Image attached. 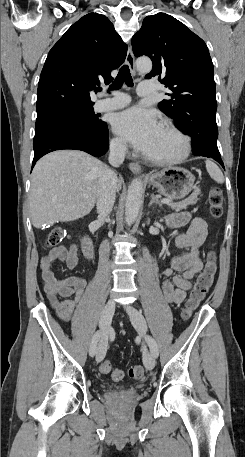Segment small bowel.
<instances>
[{
    "mask_svg": "<svg viewBox=\"0 0 245 457\" xmlns=\"http://www.w3.org/2000/svg\"><path fill=\"white\" fill-rule=\"evenodd\" d=\"M166 223L171 228L187 227L186 232L176 238V245L186 251L174 257L161 273L165 278L162 283L165 300L168 303L180 304L185 300L187 291L191 289V280L202 269L200 248L207 236V224L204 219L192 217L188 212L171 214L166 217ZM76 252L77 248L74 245L69 249L57 247L45 255L40 263L41 279L47 299L64 322L72 320L87 282L79 277L57 280L54 264L61 261L68 269H75L78 263ZM175 272L177 274H174ZM72 333L78 345L85 348L87 338L84 331L78 326H73Z\"/></svg>",
    "mask_w": 245,
    "mask_h": 457,
    "instance_id": "c3829d8e",
    "label": "small bowel"
}]
</instances>
